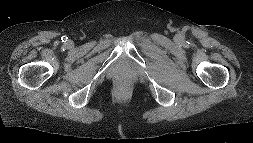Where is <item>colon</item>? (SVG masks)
Wrapping results in <instances>:
<instances>
[{"mask_svg": "<svg viewBox=\"0 0 253 143\" xmlns=\"http://www.w3.org/2000/svg\"><path fill=\"white\" fill-rule=\"evenodd\" d=\"M117 86H118V88H120V89L125 88V87H126V81H124V80L118 81Z\"/></svg>", "mask_w": 253, "mask_h": 143, "instance_id": "5ec220e1", "label": "colon"}]
</instances>
